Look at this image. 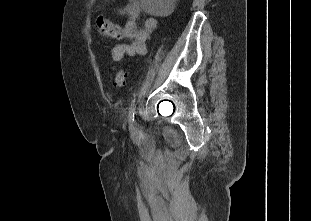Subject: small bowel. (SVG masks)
<instances>
[{"instance_id": "c3829d8e", "label": "small bowel", "mask_w": 311, "mask_h": 221, "mask_svg": "<svg viewBox=\"0 0 311 221\" xmlns=\"http://www.w3.org/2000/svg\"><path fill=\"white\" fill-rule=\"evenodd\" d=\"M143 8L139 0H130V2L121 10V14L128 15L130 19L122 28V36L129 40L114 46L112 49V60L121 61L125 56L144 55L147 52L146 41L149 35L156 29L157 20L149 16L145 19L141 28L137 27L136 19Z\"/></svg>"}]
</instances>
